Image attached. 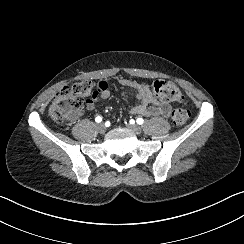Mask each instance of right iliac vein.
Here are the masks:
<instances>
[{"label":"right iliac vein","instance_id":"right-iliac-vein-1","mask_svg":"<svg viewBox=\"0 0 244 244\" xmlns=\"http://www.w3.org/2000/svg\"><path fill=\"white\" fill-rule=\"evenodd\" d=\"M97 129H98V131H99L100 133H102V134L105 133L106 130H107L106 126H105L103 123L98 124V125H97Z\"/></svg>","mask_w":244,"mask_h":244}]
</instances>
